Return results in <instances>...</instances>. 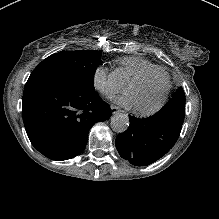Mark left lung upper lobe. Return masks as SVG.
<instances>
[{
	"instance_id": "5c2ea615",
	"label": "left lung upper lobe",
	"mask_w": 219,
	"mask_h": 219,
	"mask_svg": "<svg viewBox=\"0 0 219 219\" xmlns=\"http://www.w3.org/2000/svg\"><path fill=\"white\" fill-rule=\"evenodd\" d=\"M185 112V95L180 89L169 102L154 116L159 118L170 119L178 124L184 121Z\"/></svg>"
}]
</instances>
